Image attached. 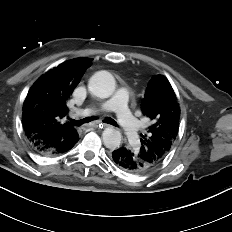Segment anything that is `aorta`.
<instances>
[{
  "instance_id": "1",
  "label": "aorta",
  "mask_w": 232,
  "mask_h": 232,
  "mask_svg": "<svg viewBox=\"0 0 232 232\" xmlns=\"http://www.w3.org/2000/svg\"><path fill=\"white\" fill-rule=\"evenodd\" d=\"M88 89L96 97L108 98L115 91V79L109 72L99 71L90 78ZM102 140L106 148L115 150L121 144L122 135L117 129L108 127L103 131Z\"/></svg>"
}]
</instances>
